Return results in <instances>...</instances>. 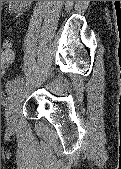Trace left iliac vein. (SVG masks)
<instances>
[{
	"instance_id": "1",
	"label": "left iliac vein",
	"mask_w": 121,
	"mask_h": 169,
	"mask_svg": "<svg viewBox=\"0 0 121 169\" xmlns=\"http://www.w3.org/2000/svg\"><path fill=\"white\" fill-rule=\"evenodd\" d=\"M23 92L22 90H17L15 94L12 96L10 105L6 112V119L9 126L13 127L17 123V113L19 109V105L22 99Z\"/></svg>"
}]
</instances>
